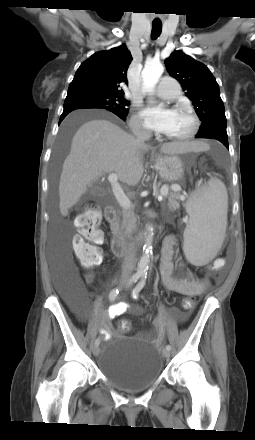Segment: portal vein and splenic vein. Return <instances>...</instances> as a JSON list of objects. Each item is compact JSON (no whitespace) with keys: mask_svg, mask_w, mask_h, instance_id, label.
<instances>
[{"mask_svg":"<svg viewBox=\"0 0 255 440\" xmlns=\"http://www.w3.org/2000/svg\"><path fill=\"white\" fill-rule=\"evenodd\" d=\"M108 181L111 184L113 194L120 204L121 207L124 209H130L132 207L130 199L125 195L124 191L122 190L119 182H118V176L115 173H110L108 176ZM175 190L180 189V187H175ZM162 196L165 195V192H162ZM162 196H160L158 199L161 200Z\"/></svg>","mask_w":255,"mask_h":440,"instance_id":"1","label":"portal vein and splenic vein"}]
</instances>
